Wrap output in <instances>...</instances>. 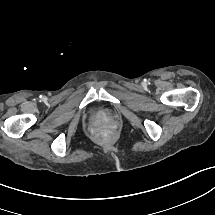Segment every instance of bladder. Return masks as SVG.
Returning a JSON list of instances; mask_svg holds the SVG:
<instances>
[{"instance_id":"bladder-1","label":"bladder","mask_w":215,"mask_h":215,"mask_svg":"<svg viewBox=\"0 0 215 215\" xmlns=\"http://www.w3.org/2000/svg\"><path fill=\"white\" fill-rule=\"evenodd\" d=\"M90 117L94 121L109 122L113 119V112L109 108H95L91 111Z\"/></svg>"}]
</instances>
